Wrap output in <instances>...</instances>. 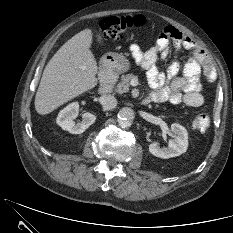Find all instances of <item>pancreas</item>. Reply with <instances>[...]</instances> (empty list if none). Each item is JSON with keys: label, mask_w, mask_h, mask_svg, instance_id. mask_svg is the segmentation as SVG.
Returning a JSON list of instances; mask_svg holds the SVG:
<instances>
[{"label": "pancreas", "mask_w": 233, "mask_h": 233, "mask_svg": "<svg viewBox=\"0 0 233 233\" xmlns=\"http://www.w3.org/2000/svg\"><path fill=\"white\" fill-rule=\"evenodd\" d=\"M134 78H137V76L134 74L123 75L120 79V82H118L116 85L115 91L120 94L128 92L130 87V80Z\"/></svg>", "instance_id": "pancreas-1"}]
</instances>
